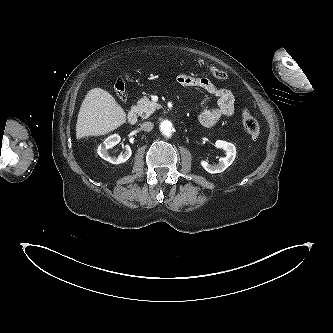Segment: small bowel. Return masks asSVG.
Listing matches in <instances>:
<instances>
[{"label":"small bowel","mask_w":333,"mask_h":333,"mask_svg":"<svg viewBox=\"0 0 333 333\" xmlns=\"http://www.w3.org/2000/svg\"><path fill=\"white\" fill-rule=\"evenodd\" d=\"M177 81L184 87L201 88L217 98L214 107L206 108L199 114V121L204 126H214L224 117L234 115V95L227 88H218L208 78L181 73Z\"/></svg>","instance_id":"1"}]
</instances>
